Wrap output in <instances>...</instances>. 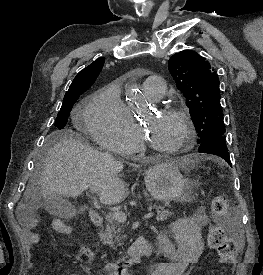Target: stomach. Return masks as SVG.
Returning a JSON list of instances; mask_svg holds the SVG:
<instances>
[{
    "instance_id": "obj_1",
    "label": "stomach",
    "mask_w": 263,
    "mask_h": 275,
    "mask_svg": "<svg viewBox=\"0 0 263 275\" xmlns=\"http://www.w3.org/2000/svg\"><path fill=\"white\" fill-rule=\"evenodd\" d=\"M145 183L154 199L168 204L170 201H190L186 180L174 162L158 163L145 172Z\"/></svg>"
}]
</instances>
